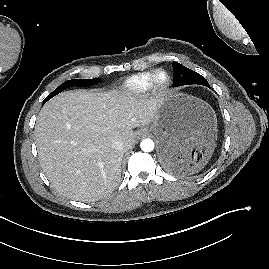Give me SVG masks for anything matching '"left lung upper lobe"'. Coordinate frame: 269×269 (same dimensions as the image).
<instances>
[{
	"label": "left lung upper lobe",
	"mask_w": 269,
	"mask_h": 269,
	"mask_svg": "<svg viewBox=\"0 0 269 269\" xmlns=\"http://www.w3.org/2000/svg\"><path fill=\"white\" fill-rule=\"evenodd\" d=\"M174 86L190 85V84H199L206 87H209V83L205 80L203 76L197 72L186 68L185 66L174 62Z\"/></svg>",
	"instance_id": "1"
}]
</instances>
